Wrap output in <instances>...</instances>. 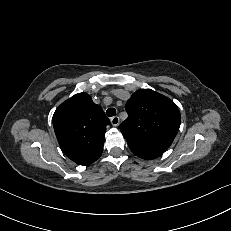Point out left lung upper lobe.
Segmentation results:
<instances>
[{"label": "left lung upper lobe", "instance_id": "1", "mask_svg": "<svg viewBox=\"0 0 231 231\" xmlns=\"http://www.w3.org/2000/svg\"><path fill=\"white\" fill-rule=\"evenodd\" d=\"M125 108L128 118L119 128L131 151L148 160L161 156L179 130L176 104L151 89H140L132 94Z\"/></svg>", "mask_w": 231, "mask_h": 231}]
</instances>
